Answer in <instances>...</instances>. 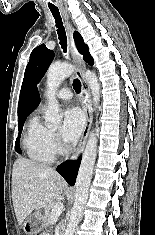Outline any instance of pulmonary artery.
<instances>
[{"mask_svg":"<svg viewBox=\"0 0 155 235\" xmlns=\"http://www.w3.org/2000/svg\"><path fill=\"white\" fill-rule=\"evenodd\" d=\"M56 97L59 100H70L72 98V92L69 88L63 87L57 91Z\"/></svg>","mask_w":155,"mask_h":235,"instance_id":"e3ab8cb5","label":"pulmonary artery"}]
</instances>
